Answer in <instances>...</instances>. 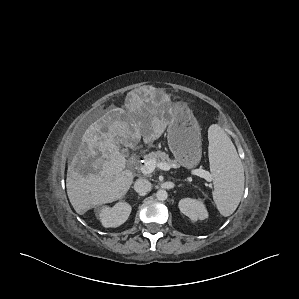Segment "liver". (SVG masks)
Returning <instances> with one entry per match:
<instances>
[{
	"instance_id": "1",
	"label": "liver",
	"mask_w": 299,
	"mask_h": 299,
	"mask_svg": "<svg viewBox=\"0 0 299 299\" xmlns=\"http://www.w3.org/2000/svg\"><path fill=\"white\" fill-rule=\"evenodd\" d=\"M125 107L127 110L123 107L108 110L86 129L68 165L67 195L80 215L121 199L130 189L134 175L125 170L126 159L117 144L134 148L141 137L149 143L165 130L167 123L151 99L135 103L128 98Z\"/></svg>"
}]
</instances>
